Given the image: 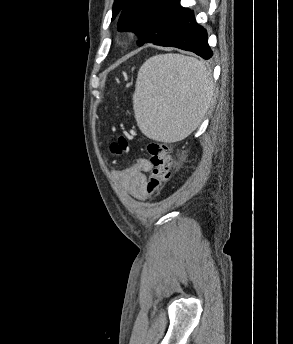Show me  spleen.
Here are the masks:
<instances>
[{"label": "spleen", "mask_w": 293, "mask_h": 344, "mask_svg": "<svg viewBox=\"0 0 293 344\" xmlns=\"http://www.w3.org/2000/svg\"><path fill=\"white\" fill-rule=\"evenodd\" d=\"M210 72L196 58L161 54L140 68L133 95L137 125L147 137L174 142L197 128L213 96Z\"/></svg>", "instance_id": "obj_1"}]
</instances>
